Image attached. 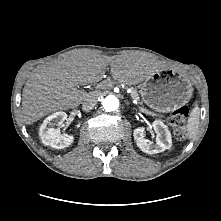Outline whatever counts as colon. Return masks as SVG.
I'll use <instances>...</instances> for the list:
<instances>
[{
	"mask_svg": "<svg viewBox=\"0 0 221 221\" xmlns=\"http://www.w3.org/2000/svg\"><path fill=\"white\" fill-rule=\"evenodd\" d=\"M189 110L186 106H182L174 110L170 117V123L177 139L182 140L186 137V120Z\"/></svg>",
	"mask_w": 221,
	"mask_h": 221,
	"instance_id": "5ec220e1",
	"label": "colon"
}]
</instances>
